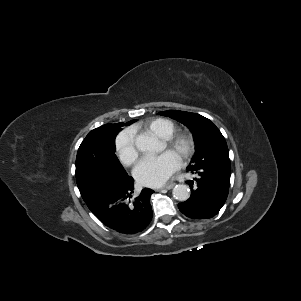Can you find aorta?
<instances>
[{"label":"aorta","mask_w":301,"mask_h":301,"mask_svg":"<svg viewBox=\"0 0 301 301\" xmlns=\"http://www.w3.org/2000/svg\"><path fill=\"white\" fill-rule=\"evenodd\" d=\"M135 145L140 151H152L155 148L156 141L146 134H140L136 137ZM172 194L176 200L186 201L190 197V190L188 186L178 184L173 188Z\"/></svg>","instance_id":"aorta-1"}]
</instances>
